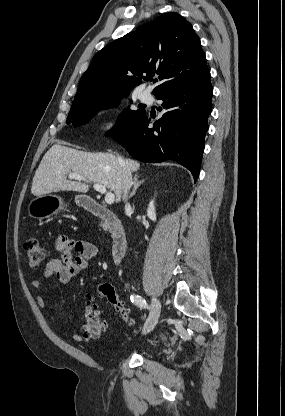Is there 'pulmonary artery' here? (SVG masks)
<instances>
[{"mask_svg": "<svg viewBox=\"0 0 285 416\" xmlns=\"http://www.w3.org/2000/svg\"><path fill=\"white\" fill-rule=\"evenodd\" d=\"M139 99L143 102L146 103L147 105L151 106L153 104V96L148 92V91H143L140 95H139Z\"/></svg>", "mask_w": 285, "mask_h": 416, "instance_id": "obj_1", "label": "pulmonary artery"}]
</instances>
